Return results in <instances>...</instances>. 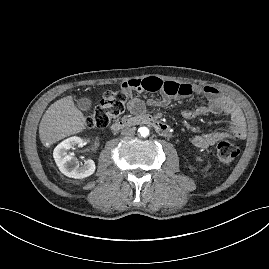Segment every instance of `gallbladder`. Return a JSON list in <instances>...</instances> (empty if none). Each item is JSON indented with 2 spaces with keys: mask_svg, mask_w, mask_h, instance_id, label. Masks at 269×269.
I'll return each instance as SVG.
<instances>
[{
  "mask_svg": "<svg viewBox=\"0 0 269 269\" xmlns=\"http://www.w3.org/2000/svg\"><path fill=\"white\" fill-rule=\"evenodd\" d=\"M92 101L89 97H82L77 101V106L79 109L83 111H87L90 109Z\"/></svg>",
  "mask_w": 269,
  "mask_h": 269,
  "instance_id": "1",
  "label": "gallbladder"
}]
</instances>
